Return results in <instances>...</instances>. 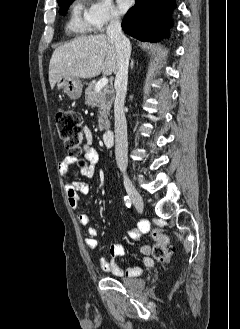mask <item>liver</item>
<instances>
[{
	"label": "liver",
	"instance_id": "6515ba94",
	"mask_svg": "<svg viewBox=\"0 0 240 329\" xmlns=\"http://www.w3.org/2000/svg\"><path fill=\"white\" fill-rule=\"evenodd\" d=\"M116 71L114 40L104 34L83 36L54 50L49 63V82L53 89L61 76L89 79L101 72L110 75Z\"/></svg>",
	"mask_w": 240,
	"mask_h": 329
}]
</instances>
